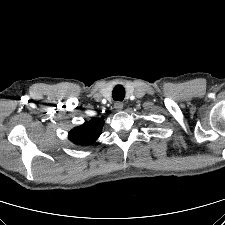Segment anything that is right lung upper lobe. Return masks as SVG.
Returning a JSON list of instances; mask_svg holds the SVG:
<instances>
[{"mask_svg": "<svg viewBox=\"0 0 225 225\" xmlns=\"http://www.w3.org/2000/svg\"><path fill=\"white\" fill-rule=\"evenodd\" d=\"M103 123L104 121L98 118L85 122L69 132V139L78 145L92 144L101 134Z\"/></svg>", "mask_w": 225, "mask_h": 225, "instance_id": "cb5924a9", "label": "right lung upper lobe"}]
</instances>
